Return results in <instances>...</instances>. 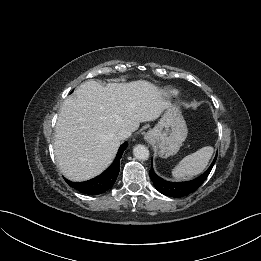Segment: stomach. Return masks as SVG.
<instances>
[{
    "label": "stomach",
    "mask_w": 261,
    "mask_h": 261,
    "mask_svg": "<svg viewBox=\"0 0 261 261\" xmlns=\"http://www.w3.org/2000/svg\"><path fill=\"white\" fill-rule=\"evenodd\" d=\"M185 120L178 107L165 110L158 124L149 131V141L162 158L175 155L187 136Z\"/></svg>",
    "instance_id": "0dacf381"
}]
</instances>
